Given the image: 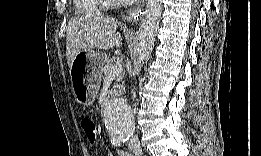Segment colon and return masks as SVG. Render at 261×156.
Listing matches in <instances>:
<instances>
[{"mask_svg":"<svg viewBox=\"0 0 261 156\" xmlns=\"http://www.w3.org/2000/svg\"><path fill=\"white\" fill-rule=\"evenodd\" d=\"M80 124L87 141L90 144L95 143L98 137V129L94 120L89 116H84L82 117Z\"/></svg>","mask_w":261,"mask_h":156,"instance_id":"colon-1","label":"colon"}]
</instances>
